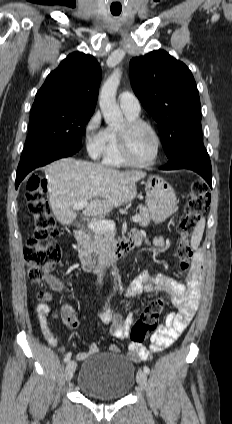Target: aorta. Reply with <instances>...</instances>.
I'll return each instance as SVG.
<instances>
[{"instance_id": "762f6f07", "label": "aorta", "mask_w": 232, "mask_h": 424, "mask_svg": "<svg viewBox=\"0 0 232 424\" xmlns=\"http://www.w3.org/2000/svg\"><path fill=\"white\" fill-rule=\"evenodd\" d=\"M120 79L121 71L119 69L114 70V72L104 82L99 96V105L104 119L106 123L112 126H119L124 121L123 114L116 102V92L120 84ZM112 275L116 284V281L119 278V273L117 267L114 265ZM114 289H116V287Z\"/></svg>"}]
</instances>
